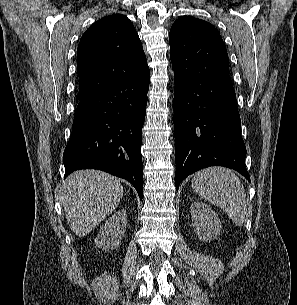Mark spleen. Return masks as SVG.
<instances>
[{
	"mask_svg": "<svg viewBox=\"0 0 297 305\" xmlns=\"http://www.w3.org/2000/svg\"><path fill=\"white\" fill-rule=\"evenodd\" d=\"M191 184L201 198L222 208L236 225H243L247 212L246 194L231 170L221 167L201 170L194 175Z\"/></svg>",
	"mask_w": 297,
	"mask_h": 305,
	"instance_id": "1",
	"label": "spleen"
}]
</instances>
